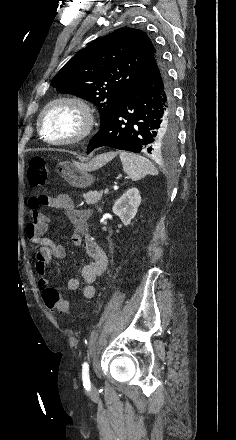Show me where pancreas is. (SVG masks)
<instances>
[{"label": "pancreas", "instance_id": "pancreas-1", "mask_svg": "<svg viewBox=\"0 0 236 440\" xmlns=\"http://www.w3.org/2000/svg\"><path fill=\"white\" fill-rule=\"evenodd\" d=\"M85 202L90 204H96L98 203L102 198V192L97 191H89L88 193L83 195Z\"/></svg>", "mask_w": 236, "mask_h": 440}]
</instances>
